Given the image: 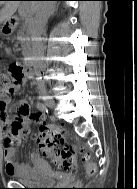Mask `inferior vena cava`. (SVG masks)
Masks as SVG:
<instances>
[{"label":"inferior vena cava","mask_w":137,"mask_h":189,"mask_svg":"<svg viewBox=\"0 0 137 189\" xmlns=\"http://www.w3.org/2000/svg\"><path fill=\"white\" fill-rule=\"evenodd\" d=\"M44 6L42 8H40L35 15L34 20L32 21L31 27H30V35H31V43H32V55L34 58V65H38L36 66V79H37V83H44L45 81V77L43 76L44 74V70H43V52H44V48H43V44L42 41L40 39L45 25L47 23V20L50 16V14L52 13V9L54 6V2L53 1H45L43 2ZM40 88H45V85H40Z\"/></svg>","instance_id":"602c4592"}]
</instances>
